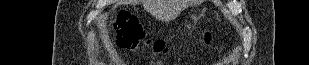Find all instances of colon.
Segmentation results:
<instances>
[{
  "mask_svg": "<svg viewBox=\"0 0 309 65\" xmlns=\"http://www.w3.org/2000/svg\"><path fill=\"white\" fill-rule=\"evenodd\" d=\"M114 29L116 30V38L118 46L122 49H134L139 44H146L153 48V50L162 54L167 51L164 41L162 40H145V33L138 19L127 11L118 13L114 22ZM211 41V34L206 33L204 42L209 44Z\"/></svg>",
  "mask_w": 309,
  "mask_h": 65,
  "instance_id": "5ec220e1",
  "label": "colon"
}]
</instances>
